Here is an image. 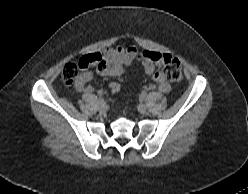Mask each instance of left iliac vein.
Here are the masks:
<instances>
[{
	"label": "left iliac vein",
	"mask_w": 248,
	"mask_h": 194,
	"mask_svg": "<svg viewBox=\"0 0 248 194\" xmlns=\"http://www.w3.org/2000/svg\"><path fill=\"white\" fill-rule=\"evenodd\" d=\"M138 111H139L141 114H146V113H147V107H146V105H144V104H139V105H138Z\"/></svg>",
	"instance_id": "1"
}]
</instances>
